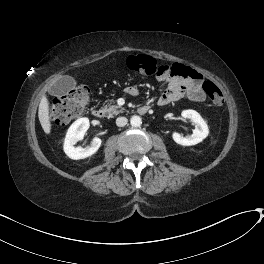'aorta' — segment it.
Here are the masks:
<instances>
[{"instance_id": "762f6f07", "label": "aorta", "mask_w": 264, "mask_h": 264, "mask_svg": "<svg viewBox=\"0 0 264 264\" xmlns=\"http://www.w3.org/2000/svg\"><path fill=\"white\" fill-rule=\"evenodd\" d=\"M130 124L133 127H139L142 124V120L140 116L134 115L130 119Z\"/></svg>"}]
</instances>
